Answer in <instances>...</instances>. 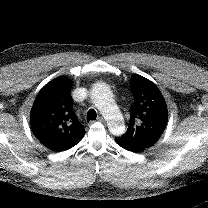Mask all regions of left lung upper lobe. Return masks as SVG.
I'll return each instance as SVG.
<instances>
[{
	"label": "left lung upper lobe",
	"instance_id": "left-lung-upper-lobe-1",
	"mask_svg": "<svg viewBox=\"0 0 208 208\" xmlns=\"http://www.w3.org/2000/svg\"><path fill=\"white\" fill-rule=\"evenodd\" d=\"M130 85L134 104L127 132L119 138L147 149L158 141L165 130L167 105L158 87L147 78L134 74Z\"/></svg>",
	"mask_w": 208,
	"mask_h": 208
}]
</instances>
